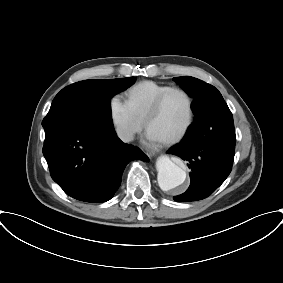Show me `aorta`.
I'll return each mask as SVG.
<instances>
[{"label":"aorta","instance_id":"aorta-1","mask_svg":"<svg viewBox=\"0 0 283 283\" xmlns=\"http://www.w3.org/2000/svg\"><path fill=\"white\" fill-rule=\"evenodd\" d=\"M157 180L163 191L177 189L186 180V171L167 156L156 161Z\"/></svg>","mask_w":283,"mask_h":283}]
</instances>
